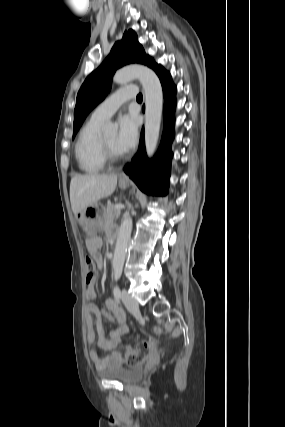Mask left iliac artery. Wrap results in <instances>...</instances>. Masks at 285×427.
Returning a JSON list of instances; mask_svg holds the SVG:
<instances>
[{
	"label": "left iliac artery",
	"instance_id": "obj_1",
	"mask_svg": "<svg viewBox=\"0 0 285 427\" xmlns=\"http://www.w3.org/2000/svg\"><path fill=\"white\" fill-rule=\"evenodd\" d=\"M121 274H122V269L121 268H115V275L114 276H115L116 282L120 279ZM113 293H114V296L116 299H119L121 297V291L117 285L114 287Z\"/></svg>",
	"mask_w": 285,
	"mask_h": 427
}]
</instances>
